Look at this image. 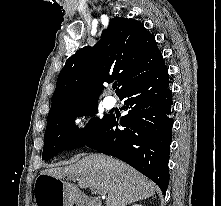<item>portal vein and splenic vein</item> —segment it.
Instances as JSON below:
<instances>
[{
	"label": "portal vein and splenic vein",
	"mask_w": 221,
	"mask_h": 206,
	"mask_svg": "<svg viewBox=\"0 0 221 206\" xmlns=\"http://www.w3.org/2000/svg\"><path fill=\"white\" fill-rule=\"evenodd\" d=\"M93 192L94 193H98L100 195H102V197L104 198L105 196V193L103 191H101L100 189H97V188H93Z\"/></svg>",
	"instance_id": "portal-vein-and-splenic-vein-1"
}]
</instances>
